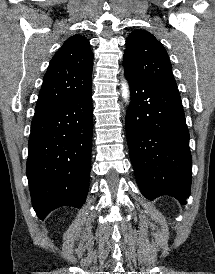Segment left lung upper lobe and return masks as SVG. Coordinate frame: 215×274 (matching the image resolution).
I'll use <instances>...</instances> for the list:
<instances>
[{
  "label": "left lung upper lobe",
  "instance_id": "obj_1",
  "mask_svg": "<svg viewBox=\"0 0 215 274\" xmlns=\"http://www.w3.org/2000/svg\"><path fill=\"white\" fill-rule=\"evenodd\" d=\"M123 65L131 75L179 92L165 48L147 31L134 30L129 35Z\"/></svg>",
  "mask_w": 215,
  "mask_h": 274
}]
</instances>
